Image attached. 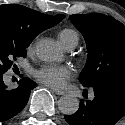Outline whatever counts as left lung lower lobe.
<instances>
[{
  "instance_id": "obj_1",
  "label": "left lung lower lobe",
  "mask_w": 125,
  "mask_h": 125,
  "mask_svg": "<svg viewBox=\"0 0 125 125\" xmlns=\"http://www.w3.org/2000/svg\"><path fill=\"white\" fill-rule=\"evenodd\" d=\"M95 98L81 101L70 125H115L125 115V82H103L93 87Z\"/></svg>"
}]
</instances>
